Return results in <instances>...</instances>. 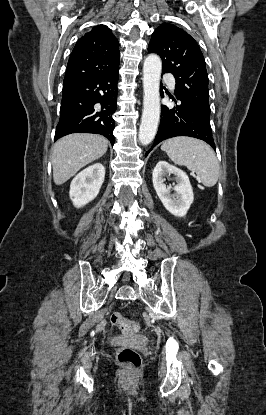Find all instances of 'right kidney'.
I'll return each instance as SVG.
<instances>
[{
	"label": "right kidney",
	"mask_w": 266,
	"mask_h": 415,
	"mask_svg": "<svg viewBox=\"0 0 266 415\" xmlns=\"http://www.w3.org/2000/svg\"><path fill=\"white\" fill-rule=\"evenodd\" d=\"M104 178L105 168L101 163H95L76 175L69 192L73 205L80 208L96 198Z\"/></svg>",
	"instance_id": "right-kidney-1"
}]
</instances>
